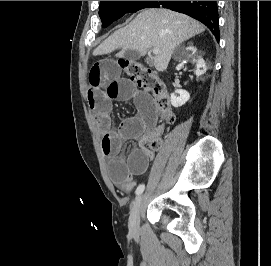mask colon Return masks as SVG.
<instances>
[{
    "mask_svg": "<svg viewBox=\"0 0 271 266\" xmlns=\"http://www.w3.org/2000/svg\"><path fill=\"white\" fill-rule=\"evenodd\" d=\"M118 64L132 82L152 94L154 105L161 117L168 122H172L174 114L171 110L169 94L160 76L138 61L123 59L119 60ZM150 142L153 149H157L160 145V139L157 136L151 138Z\"/></svg>",
    "mask_w": 271,
    "mask_h": 266,
    "instance_id": "obj_1",
    "label": "colon"
}]
</instances>
